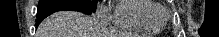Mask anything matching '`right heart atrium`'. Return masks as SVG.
<instances>
[{
  "mask_svg": "<svg viewBox=\"0 0 219 37\" xmlns=\"http://www.w3.org/2000/svg\"><path fill=\"white\" fill-rule=\"evenodd\" d=\"M97 17L106 21L109 17L108 9L104 6H100L97 10Z\"/></svg>",
  "mask_w": 219,
  "mask_h": 37,
  "instance_id": "d8ad5b80",
  "label": "right heart atrium"
}]
</instances>
